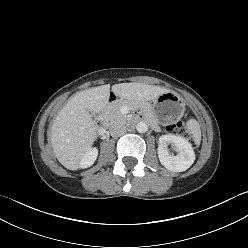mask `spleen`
<instances>
[{
    "label": "spleen",
    "mask_w": 248,
    "mask_h": 248,
    "mask_svg": "<svg viewBox=\"0 0 248 248\" xmlns=\"http://www.w3.org/2000/svg\"><path fill=\"white\" fill-rule=\"evenodd\" d=\"M187 129L193 135L194 141L199 143L201 140V129L199 123L195 119L187 121Z\"/></svg>",
    "instance_id": "obj_1"
}]
</instances>
